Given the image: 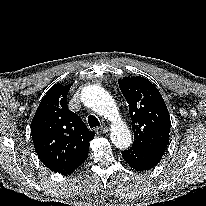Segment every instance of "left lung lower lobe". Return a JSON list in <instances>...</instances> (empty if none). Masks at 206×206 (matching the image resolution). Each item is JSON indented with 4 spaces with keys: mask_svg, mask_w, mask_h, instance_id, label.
Instances as JSON below:
<instances>
[{
    "mask_svg": "<svg viewBox=\"0 0 206 206\" xmlns=\"http://www.w3.org/2000/svg\"><path fill=\"white\" fill-rule=\"evenodd\" d=\"M123 158L136 170H148L157 165L164 152L145 150L138 147H130L121 151Z\"/></svg>",
    "mask_w": 206,
    "mask_h": 206,
    "instance_id": "left-lung-lower-lobe-1",
    "label": "left lung lower lobe"
}]
</instances>
